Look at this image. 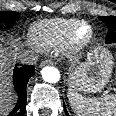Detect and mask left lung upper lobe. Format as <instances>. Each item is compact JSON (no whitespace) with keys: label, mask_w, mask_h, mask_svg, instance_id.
<instances>
[{"label":"left lung upper lobe","mask_w":116,"mask_h":116,"mask_svg":"<svg viewBox=\"0 0 116 116\" xmlns=\"http://www.w3.org/2000/svg\"><path fill=\"white\" fill-rule=\"evenodd\" d=\"M108 27V34L106 37V43H116V17L106 16L99 17Z\"/></svg>","instance_id":"5c2ea615"}]
</instances>
